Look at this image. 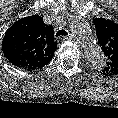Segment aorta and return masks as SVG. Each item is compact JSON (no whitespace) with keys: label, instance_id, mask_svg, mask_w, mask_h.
<instances>
[{"label":"aorta","instance_id":"1","mask_svg":"<svg viewBox=\"0 0 118 118\" xmlns=\"http://www.w3.org/2000/svg\"><path fill=\"white\" fill-rule=\"evenodd\" d=\"M70 28L79 41L86 47L85 58L90 67L101 70L106 65V57L99 46L89 24L81 18H72Z\"/></svg>","mask_w":118,"mask_h":118}]
</instances>
